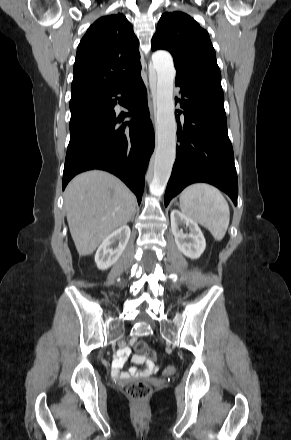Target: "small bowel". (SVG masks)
<instances>
[{"label": "small bowel", "mask_w": 291, "mask_h": 440, "mask_svg": "<svg viewBox=\"0 0 291 440\" xmlns=\"http://www.w3.org/2000/svg\"><path fill=\"white\" fill-rule=\"evenodd\" d=\"M129 347H123L119 350L118 357L113 361V375L120 379H126L129 376L135 377H151L154 376L158 372V366L149 360H145L144 358L134 359L133 361L137 364H144L142 369H137L135 367H130L128 372H124L122 370L127 357L130 354ZM176 369V366H173Z\"/></svg>", "instance_id": "small-bowel-1"}]
</instances>
